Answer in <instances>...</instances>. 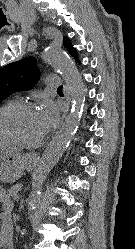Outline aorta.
I'll return each mask as SVG.
<instances>
[{
    "instance_id": "762f6f07",
    "label": "aorta",
    "mask_w": 135,
    "mask_h": 249,
    "mask_svg": "<svg viewBox=\"0 0 135 249\" xmlns=\"http://www.w3.org/2000/svg\"><path fill=\"white\" fill-rule=\"evenodd\" d=\"M43 58L46 62L57 68L67 82L72 99V107L61 129L45 149L38 170L33 177V190L30 201L32 210L39 206L43 183L47 175L62 157L74 133L78 129L85 101L84 84L77 67L67 54L60 48L50 46L43 52Z\"/></svg>"
}]
</instances>
